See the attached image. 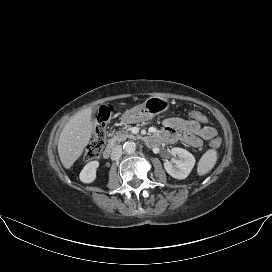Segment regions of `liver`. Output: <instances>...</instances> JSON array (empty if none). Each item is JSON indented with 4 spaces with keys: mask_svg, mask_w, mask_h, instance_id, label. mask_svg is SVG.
I'll return each instance as SVG.
<instances>
[{
    "mask_svg": "<svg viewBox=\"0 0 272 272\" xmlns=\"http://www.w3.org/2000/svg\"><path fill=\"white\" fill-rule=\"evenodd\" d=\"M92 128L90 109L75 114L64 126L58 140V154L66 169L83 153L90 141Z\"/></svg>",
    "mask_w": 272,
    "mask_h": 272,
    "instance_id": "liver-1",
    "label": "liver"
}]
</instances>
